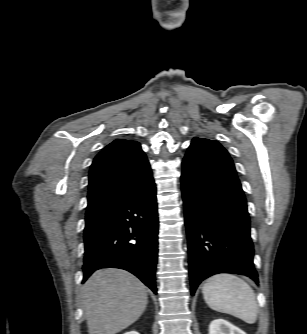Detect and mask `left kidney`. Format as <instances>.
<instances>
[{
	"mask_svg": "<svg viewBox=\"0 0 307 334\" xmlns=\"http://www.w3.org/2000/svg\"><path fill=\"white\" fill-rule=\"evenodd\" d=\"M209 334H246L224 319H215L209 325Z\"/></svg>",
	"mask_w": 307,
	"mask_h": 334,
	"instance_id": "left-kidney-1",
	"label": "left kidney"
}]
</instances>
